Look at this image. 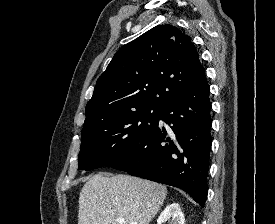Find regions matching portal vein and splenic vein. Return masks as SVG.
Wrapping results in <instances>:
<instances>
[{"mask_svg":"<svg viewBox=\"0 0 275 224\" xmlns=\"http://www.w3.org/2000/svg\"><path fill=\"white\" fill-rule=\"evenodd\" d=\"M117 222H118L119 224H124L125 219H124L123 217H119V218H117ZM131 224H136V223H131Z\"/></svg>","mask_w":275,"mask_h":224,"instance_id":"portal-vein-and-splenic-vein-1","label":"portal vein and splenic vein"}]
</instances>
